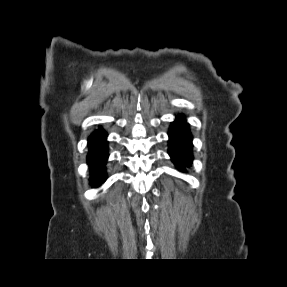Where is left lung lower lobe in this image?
<instances>
[{
    "instance_id": "obj_1",
    "label": "left lung lower lobe",
    "mask_w": 287,
    "mask_h": 287,
    "mask_svg": "<svg viewBox=\"0 0 287 287\" xmlns=\"http://www.w3.org/2000/svg\"><path fill=\"white\" fill-rule=\"evenodd\" d=\"M168 153L176 167L184 171V168L192 164V135L184 115L176 116L170 126Z\"/></svg>"
}]
</instances>
